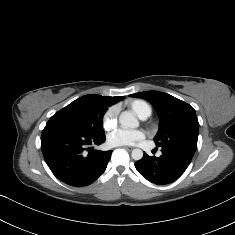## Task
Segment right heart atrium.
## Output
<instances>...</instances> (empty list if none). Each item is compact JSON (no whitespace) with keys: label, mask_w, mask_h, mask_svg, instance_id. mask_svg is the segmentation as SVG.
<instances>
[{"label":"right heart atrium","mask_w":235,"mask_h":235,"mask_svg":"<svg viewBox=\"0 0 235 235\" xmlns=\"http://www.w3.org/2000/svg\"><path fill=\"white\" fill-rule=\"evenodd\" d=\"M119 108L116 105L110 106L102 118L103 127L106 130L113 129L117 124Z\"/></svg>","instance_id":"right-heart-atrium-1"}]
</instances>
